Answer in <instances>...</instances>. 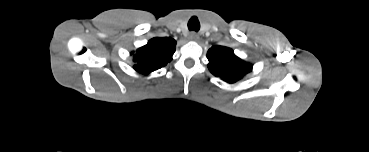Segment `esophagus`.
Wrapping results in <instances>:
<instances>
[{"mask_svg":"<svg viewBox=\"0 0 369 152\" xmlns=\"http://www.w3.org/2000/svg\"><path fill=\"white\" fill-rule=\"evenodd\" d=\"M189 39L193 41H197L199 39V36L196 32H191L189 35Z\"/></svg>","mask_w":369,"mask_h":152,"instance_id":"obj_1","label":"esophagus"}]
</instances>
